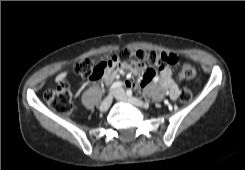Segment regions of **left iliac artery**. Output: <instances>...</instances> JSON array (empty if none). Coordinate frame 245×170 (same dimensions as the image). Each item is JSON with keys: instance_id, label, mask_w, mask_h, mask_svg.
I'll return each instance as SVG.
<instances>
[{"instance_id": "obj_1", "label": "left iliac artery", "mask_w": 245, "mask_h": 170, "mask_svg": "<svg viewBox=\"0 0 245 170\" xmlns=\"http://www.w3.org/2000/svg\"><path fill=\"white\" fill-rule=\"evenodd\" d=\"M126 94L130 97V96H132V90L131 89H128L127 91H126Z\"/></svg>"}]
</instances>
